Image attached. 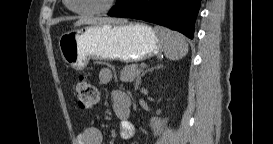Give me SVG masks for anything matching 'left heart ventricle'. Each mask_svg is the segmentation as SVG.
I'll list each match as a JSON object with an SVG mask.
<instances>
[{"label":"left heart ventricle","instance_id":"obj_1","mask_svg":"<svg viewBox=\"0 0 273 144\" xmlns=\"http://www.w3.org/2000/svg\"><path fill=\"white\" fill-rule=\"evenodd\" d=\"M107 0H72L75 9H94L102 6Z\"/></svg>","mask_w":273,"mask_h":144}]
</instances>
